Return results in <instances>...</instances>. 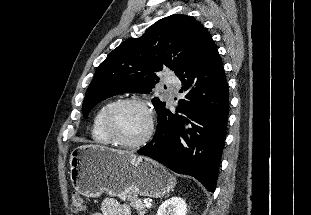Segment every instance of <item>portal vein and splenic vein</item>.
I'll list each match as a JSON object with an SVG mask.
<instances>
[{
	"label": "portal vein and splenic vein",
	"mask_w": 311,
	"mask_h": 215,
	"mask_svg": "<svg viewBox=\"0 0 311 215\" xmlns=\"http://www.w3.org/2000/svg\"><path fill=\"white\" fill-rule=\"evenodd\" d=\"M151 206H152V204H151V203H149V202H145V207H147V208H151Z\"/></svg>",
	"instance_id": "obj_1"
}]
</instances>
